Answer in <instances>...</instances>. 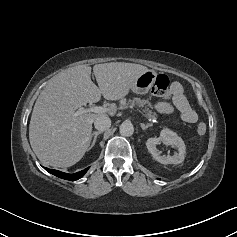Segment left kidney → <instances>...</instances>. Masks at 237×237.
Segmentation results:
<instances>
[{
	"label": "left kidney",
	"mask_w": 237,
	"mask_h": 237,
	"mask_svg": "<svg viewBox=\"0 0 237 237\" xmlns=\"http://www.w3.org/2000/svg\"><path fill=\"white\" fill-rule=\"evenodd\" d=\"M160 141L175 146L178 149V153L173 156L159 155L156 149V145ZM146 146L148 151L152 154L153 158L162 164H180L184 161L186 153L184 141L175 132L167 128L161 131L160 137L149 138L146 142Z\"/></svg>",
	"instance_id": "1"
}]
</instances>
